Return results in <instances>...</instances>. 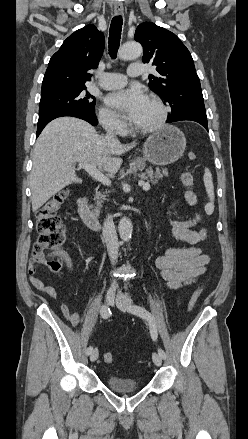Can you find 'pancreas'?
<instances>
[{
  "mask_svg": "<svg viewBox=\"0 0 248 439\" xmlns=\"http://www.w3.org/2000/svg\"><path fill=\"white\" fill-rule=\"evenodd\" d=\"M167 174L168 172L166 169L156 170L155 172L152 169H148L145 173L141 175V178L147 179L149 182L155 185L158 182V179H161L163 175ZM95 199L97 201V205H100V202L102 199H104V196H102L100 193H96Z\"/></svg>",
  "mask_w": 248,
  "mask_h": 439,
  "instance_id": "pancreas-1",
  "label": "pancreas"
}]
</instances>
